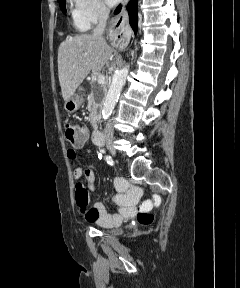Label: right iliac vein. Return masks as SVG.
<instances>
[{
    "label": "right iliac vein",
    "mask_w": 240,
    "mask_h": 288,
    "mask_svg": "<svg viewBox=\"0 0 240 288\" xmlns=\"http://www.w3.org/2000/svg\"><path fill=\"white\" fill-rule=\"evenodd\" d=\"M107 148L113 156L117 155L116 149L112 145L107 146Z\"/></svg>",
    "instance_id": "right-iliac-vein-1"
}]
</instances>
